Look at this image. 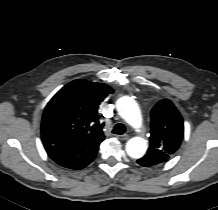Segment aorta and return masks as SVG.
<instances>
[{
    "mask_svg": "<svg viewBox=\"0 0 218 210\" xmlns=\"http://www.w3.org/2000/svg\"><path fill=\"white\" fill-rule=\"evenodd\" d=\"M117 111L119 115L133 128H139L142 125V116L140 108L131 97L124 96L118 99ZM147 150V141L142 137H133L126 143L127 154L134 159L143 157Z\"/></svg>",
    "mask_w": 218,
    "mask_h": 210,
    "instance_id": "obj_1",
    "label": "aorta"
}]
</instances>
